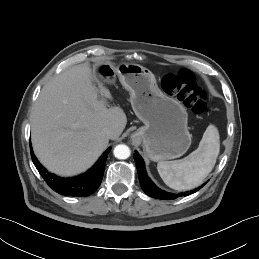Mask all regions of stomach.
I'll list each match as a JSON object with an SVG mask.
<instances>
[{"label": "stomach", "instance_id": "obj_1", "mask_svg": "<svg viewBox=\"0 0 259 259\" xmlns=\"http://www.w3.org/2000/svg\"><path fill=\"white\" fill-rule=\"evenodd\" d=\"M93 72L105 82H113L118 75L130 92L132 108L144 123L131 137L142 142L144 153L151 160L175 159L189 149L191 134L186 109L159 89L149 69L132 63L115 67L111 62H99L93 65Z\"/></svg>", "mask_w": 259, "mask_h": 259}]
</instances>
